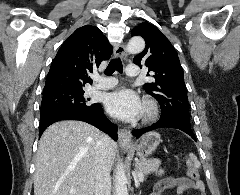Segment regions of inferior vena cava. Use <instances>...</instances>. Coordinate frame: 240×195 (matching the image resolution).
<instances>
[{
  "instance_id": "1",
  "label": "inferior vena cava",
  "mask_w": 240,
  "mask_h": 195,
  "mask_svg": "<svg viewBox=\"0 0 240 195\" xmlns=\"http://www.w3.org/2000/svg\"><path fill=\"white\" fill-rule=\"evenodd\" d=\"M113 139L103 133L96 145L97 171L95 175L94 195H111L110 163L108 145Z\"/></svg>"
}]
</instances>
